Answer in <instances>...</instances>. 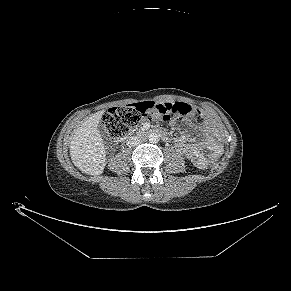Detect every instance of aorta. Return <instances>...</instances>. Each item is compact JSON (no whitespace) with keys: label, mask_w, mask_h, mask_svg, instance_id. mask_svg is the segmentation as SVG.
<instances>
[{"label":"aorta","mask_w":291,"mask_h":291,"mask_svg":"<svg viewBox=\"0 0 291 291\" xmlns=\"http://www.w3.org/2000/svg\"><path fill=\"white\" fill-rule=\"evenodd\" d=\"M149 142L153 143V144L158 143L159 142V136L156 133H151L149 135Z\"/></svg>","instance_id":"aorta-1"}]
</instances>
